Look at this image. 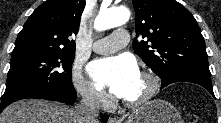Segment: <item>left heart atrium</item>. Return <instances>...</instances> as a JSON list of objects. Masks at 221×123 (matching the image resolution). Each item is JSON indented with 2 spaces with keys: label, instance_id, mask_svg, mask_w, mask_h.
Returning <instances> with one entry per match:
<instances>
[{
  "label": "left heart atrium",
  "instance_id": "39dd6f15",
  "mask_svg": "<svg viewBox=\"0 0 221 123\" xmlns=\"http://www.w3.org/2000/svg\"><path fill=\"white\" fill-rule=\"evenodd\" d=\"M88 72L98 87L108 88L122 98L139 71L135 61L128 56H116L93 61Z\"/></svg>",
  "mask_w": 221,
  "mask_h": 123
}]
</instances>
